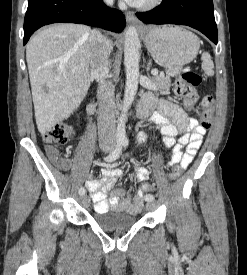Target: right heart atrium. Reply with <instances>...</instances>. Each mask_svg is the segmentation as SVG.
<instances>
[{
    "label": "right heart atrium",
    "instance_id": "obj_1",
    "mask_svg": "<svg viewBox=\"0 0 247 275\" xmlns=\"http://www.w3.org/2000/svg\"><path fill=\"white\" fill-rule=\"evenodd\" d=\"M114 0H104V3L107 5V6H112Z\"/></svg>",
    "mask_w": 247,
    "mask_h": 275
}]
</instances>
